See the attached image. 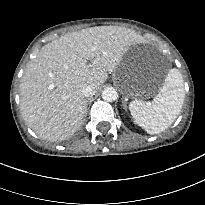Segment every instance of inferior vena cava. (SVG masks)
I'll return each mask as SVG.
<instances>
[{
    "instance_id": "inferior-vena-cava-1",
    "label": "inferior vena cava",
    "mask_w": 205,
    "mask_h": 205,
    "mask_svg": "<svg viewBox=\"0 0 205 205\" xmlns=\"http://www.w3.org/2000/svg\"><path fill=\"white\" fill-rule=\"evenodd\" d=\"M96 92L95 90V87L93 85H88V86H85L82 90V94L85 96V97H89V96H92L94 95Z\"/></svg>"
}]
</instances>
